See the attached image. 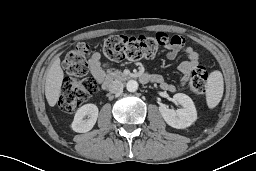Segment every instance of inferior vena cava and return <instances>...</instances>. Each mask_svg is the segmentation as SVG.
Returning <instances> with one entry per match:
<instances>
[{"instance_id": "inferior-vena-cava-1", "label": "inferior vena cava", "mask_w": 256, "mask_h": 171, "mask_svg": "<svg viewBox=\"0 0 256 171\" xmlns=\"http://www.w3.org/2000/svg\"><path fill=\"white\" fill-rule=\"evenodd\" d=\"M123 87L124 85L121 81L115 80L108 85V90L111 93H121L123 91Z\"/></svg>"}]
</instances>
